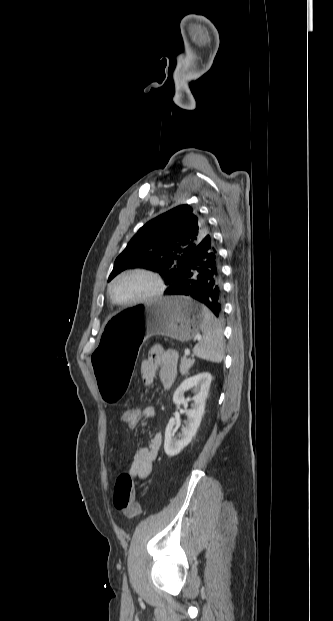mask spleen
Masks as SVG:
<instances>
[{
	"label": "spleen",
	"mask_w": 333,
	"mask_h": 621,
	"mask_svg": "<svg viewBox=\"0 0 333 621\" xmlns=\"http://www.w3.org/2000/svg\"><path fill=\"white\" fill-rule=\"evenodd\" d=\"M200 330L203 339L194 347V355L202 360L222 362L224 357L222 325L207 308H204V319Z\"/></svg>",
	"instance_id": "obj_1"
}]
</instances>
